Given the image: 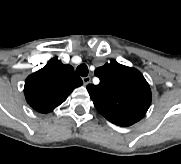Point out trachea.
Listing matches in <instances>:
<instances>
[{"label": "trachea", "instance_id": "trachea-1", "mask_svg": "<svg viewBox=\"0 0 181 164\" xmlns=\"http://www.w3.org/2000/svg\"><path fill=\"white\" fill-rule=\"evenodd\" d=\"M76 73L80 76L86 77L88 75V67L86 64H80L76 68Z\"/></svg>", "mask_w": 181, "mask_h": 164}]
</instances>
